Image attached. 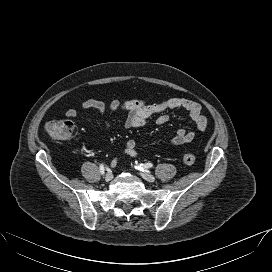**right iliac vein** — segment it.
<instances>
[{
	"label": "right iliac vein",
	"instance_id": "1",
	"mask_svg": "<svg viewBox=\"0 0 272 272\" xmlns=\"http://www.w3.org/2000/svg\"><path fill=\"white\" fill-rule=\"evenodd\" d=\"M112 178H113V174L111 172H107L105 175V180L108 182V181H111Z\"/></svg>",
	"mask_w": 272,
	"mask_h": 272
}]
</instances>
